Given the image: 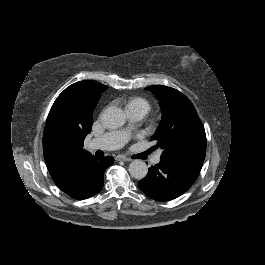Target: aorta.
<instances>
[{"mask_svg": "<svg viewBox=\"0 0 265 265\" xmlns=\"http://www.w3.org/2000/svg\"><path fill=\"white\" fill-rule=\"evenodd\" d=\"M127 121L126 115L121 108L109 107L102 114V123L108 128H118ZM148 166L141 159H135L129 164V173L135 179H142L147 175Z\"/></svg>", "mask_w": 265, "mask_h": 265, "instance_id": "aorta-1", "label": "aorta"}]
</instances>
